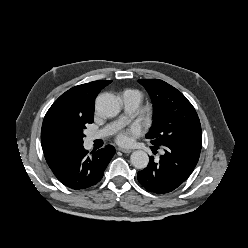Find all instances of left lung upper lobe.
<instances>
[{
    "label": "left lung upper lobe",
    "mask_w": 248,
    "mask_h": 248,
    "mask_svg": "<svg viewBox=\"0 0 248 248\" xmlns=\"http://www.w3.org/2000/svg\"><path fill=\"white\" fill-rule=\"evenodd\" d=\"M138 82L145 87L153 102V123L146 138L154 146H173L200 152L201 125L187 98L159 79H142Z\"/></svg>",
    "instance_id": "left-lung-upper-lobe-1"
}]
</instances>
